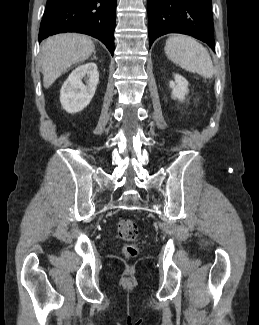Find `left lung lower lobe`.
I'll return each instance as SVG.
<instances>
[{
  "instance_id": "left-lung-lower-lobe-1",
  "label": "left lung lower lobe",
  "mask_w": 259,
  "mask_h": 325,
  "mask_svg": "<svg viewBox=\"0 0 259 325\" xmlns=\"http://www.w3.org/2000/svg\"><path fill=\"white\" fill-rule=\"evenodd\" d=\"M212 0H148L150 46L167 33H182L208 44L213 50Z\"/></svg>"
}]
</instances>
